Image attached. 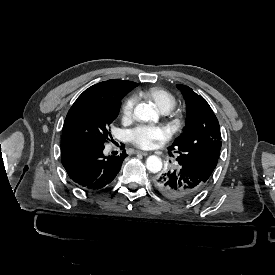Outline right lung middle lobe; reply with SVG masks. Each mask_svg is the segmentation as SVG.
<instances>
[{"instance_id":"1","label":"right lung middle lobe","mask_w":275,"mask_h":275,"mask_svg":"<svg viewBox=\"0 0 275 275\" xmlns=\"http://www.w3.org/2000/svg\"><path fill=\"white\" fill-rule=\"evenodd\" d=\"M120 106V101H96L70 109L63 126L62 141L86 140L104 144L110 140L109 126L117 117Z\"/></svg>"}]
</instances>
